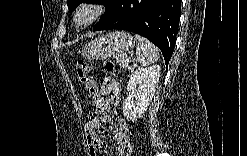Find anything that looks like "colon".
Wrapping results in <instances>:
<instances>
[{
	"instance_id": "5ec220e1",
	"label": "colon",
	"mask_w": 247,
	"mask_h": 156,
	"mask_svg": "<svg viewBox=\"0 0 247 156\" xmlns=\"http://www.w3.org/2000/svg\"><path fill=\"white\" fill-rule=\"evenodd\" d=\"M102 69L105 72H112L114 65L110 61L102 63ZM75 70L79 81L85 86L90 97L93 98L94 106H103V101H100L97 84L93 78V65L86 59H79L75 64ZM93 112H98V107H93Z\"/></svg>"
}]
</instances>
